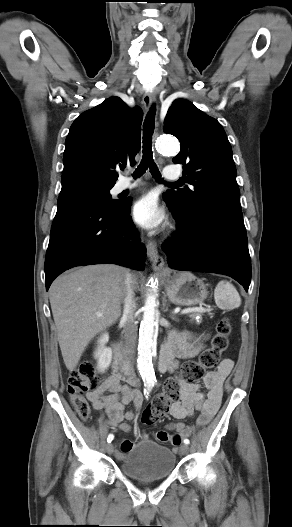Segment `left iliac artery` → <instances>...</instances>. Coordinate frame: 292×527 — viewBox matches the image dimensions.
Wrapping results in <instances>:
<instances>
[{
    "mask_svg": "<svg viewBox=\"0 0 292 527\" xmlns=\"http://www.w3.org/2000/svg\"><path fill=\"white\" fill-rule=\"evenodd\" d=\"M184 443H185L186 445H188V444L190 443L189 439H187V438L184 439Z\"/></svg>",
    "mask_w": 292,
    "mask_h": 527,
    "instance_id": "obj_1",
    "label": "left iliac artery"
}]
</instances>
